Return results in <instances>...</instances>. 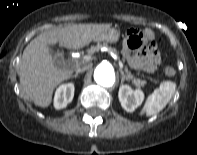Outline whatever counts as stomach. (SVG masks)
Listing matches in <instances>:
<instances>
[{
    "mask_svg": "<svg viewBox=\"0 0 197 155\" xmlns=\"http://www.w3.org/2000/svg\"><path fill=\"white\" fill-rule=\"evenodd\" d=\"M120 31L115 28H108L100 33L94 41L116 43L119 40Z\"/></svg>",
    "mask_w": 197,
    "mask_h": 155,
    "instance_id": "obj_1",
    "label": "stomach"
}]
</instances>
